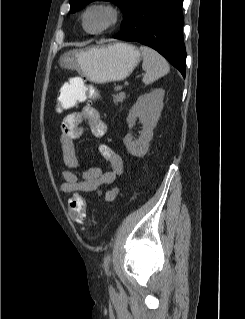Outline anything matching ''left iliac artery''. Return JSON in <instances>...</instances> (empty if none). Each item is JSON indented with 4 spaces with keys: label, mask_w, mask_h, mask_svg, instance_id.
<instances>
[{
    "label": "left iliac artery",
    "mask_w": 245,
    "mask_h": 319,
    "mask_svg": "<svg viewBox=\"0 0 245 319\" xmlns=\"http://www.w3.org/2000/svg\"><path fill=\"white\" fill-rule=\"evenodd\" d=\"M110 255L107 254L104 258V268L107 275H109Z\"/></svg>",
    "instance_id": "left-iliac-artery-1"
}]
</instances>
